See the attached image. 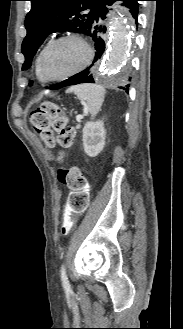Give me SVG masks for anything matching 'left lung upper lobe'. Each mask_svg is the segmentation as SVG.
<instances>
[{"instance_id":"obj_1","label":"left lung upper lobe","mask_w":183,"mask_h":329,"mask_svg":"<svg viewBox=\"0 0 183 329\" xmlns=\"http://www.w3.org/2000/svg\"><path fill=\"white\" fill-rule=\"evenodd\" d=\"M30 1L32 8L25 18L27 35L21 47L25 56L23 70L31 66L37 49L49 34L70 31L87 35L98 9L106 0ZM88 9H90L89 12H87ZM30 85H32V81Z\"/></svg>"}]
</instances>
